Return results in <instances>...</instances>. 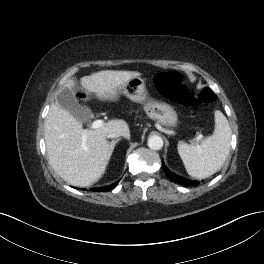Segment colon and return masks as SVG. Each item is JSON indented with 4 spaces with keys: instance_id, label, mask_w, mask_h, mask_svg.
<instances>
[{
    "instance_id": "colon-1",
    "label": "colon",
    "mask_w": 264,
    "mask_h": 264,
    "mask_svg": "<svg viewBox=\"0 0 264 264\" xmlns=\"http://www.w3.org/2000/svg\"><path fill=\"white\" fill-rule=\"evenodd\" d=\"M158 91L169 100L184 106H194L215 101L216 96L212 90L205 88L192 94L183 84L182 75L178 72H162L155 77Z\"/></svg>"
}]
</instances>
